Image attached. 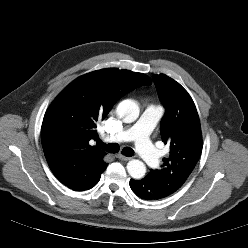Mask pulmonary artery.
Instances as JSON below:
<instances>
[{
	"mask_svg": "<svg viewBox=\"0 0 248 248\" xmlns=\"http://www.w3.org/2000/svg\"><path fill=\"white\" fill-rule=\"evenodd\" d=\"M163 110L160 106L149 104L142 112L139 119L130 127L121 130L108 137L110 142L124 143L133 141L136 151L141 158L150 166L156 167L160 163V151L150 141V133Z\"/></svg>",
	"mask_w": 248,
	"mask_h": 248,
	"instance_id": "obj_1",
	"label": "pulmonary artery"
}]
</instances>
